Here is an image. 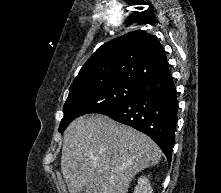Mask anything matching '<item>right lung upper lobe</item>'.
<instances>
[{"label":"right lung upper lobe","instance_id":"right-lung-upper-lobe-1","mask_svg":"<svg viewBox=\"0 0 221 193\" xmlns=\"http://www.w3.org/2000/svg\"><path fill=\"white\" fill-rule=\"evenodd\" d=\"M168 74L166 53L158 38L137 30L100 46L82 66L70 90L117 82L142 84Z\"/></svg>","mask_w":221,"mask_h":193}]
</instances>
